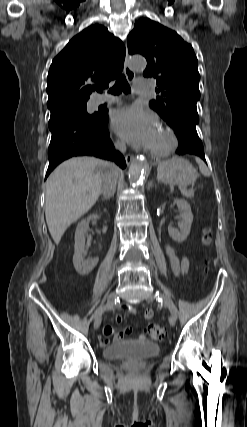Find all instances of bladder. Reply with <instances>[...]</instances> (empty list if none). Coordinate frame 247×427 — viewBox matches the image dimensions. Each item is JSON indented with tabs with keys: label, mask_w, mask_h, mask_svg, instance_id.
Instances as JSON below:
<instances>
[{
	"label": "bladder",
	"mask_w": 247,
	"mask_h": 427,
	"mask_svg": "<svg viewBox=\"0 0 247 427\" xmlns=\"http://www.w3.org/2000/svg\"><path fill=\"white\" fill-rule=\"evenodd\" d=\"M159 353L160 347L151 342L123 341L111 344L104 349V356L109 360H120L126 357L149 359Z\"/></svg>",
	"instance_id": "1"
}]
</instances>
